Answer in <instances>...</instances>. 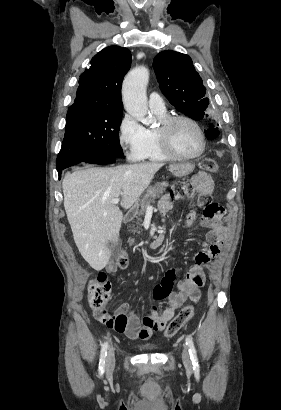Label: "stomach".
<instances>
[{"label": "stomach", "instance_id": "0dacf381", "mask_svg": "<svg viewBox=\"0 0 281 410\" xmlns=\"http://www.w3.org/2000/svg\"><path fill=\"white\" fill-rule=\"evenodd\" d=\"M194 165L191 163L174 164L169 166L170 172L176 177H183L191 173Z\"/></svg>", "mask_w": 281, "mask_h": 410}]
</instances>
